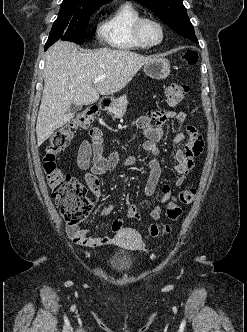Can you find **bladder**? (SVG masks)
<instances>
[{
	"mask_svg": "<svg viewBox=\"0 0 247 332\" xmlns=\"http://www.w3.org/2000/svg\"><path fill=\"white\" fill-rule=\"evenodd\" d=\"M108 265L117 272H124L133 267L134 259L128 254L116 252L108 259Z\"/></svg>",
	"mask_w": 247,
	"mask_h": 332,
	"instance_id": "bladder-1",
	"label": "bladder"
}]
</instances>
